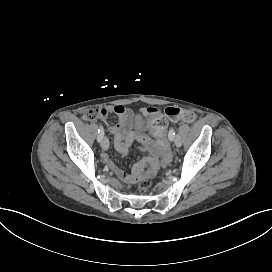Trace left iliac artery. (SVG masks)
I'll return each instance as SVG.
<instances>
[{
    "instance_id": "1",
    "label": "left iliac artery",
    "mask_w": 272,
    "mask_h": 272,
    "mask_svg": "<svg viewBox=\"0 0 272 272\" xmlns=\"http://www.w3.org/2000/svg\"><path fill=\"white\" fill-rule=\"evenodd\" d=\"M174 137H175V131H174V128H171L168 133V138H169V140L172 141L174 139Z\"/></svg>"
}]
</instances>
